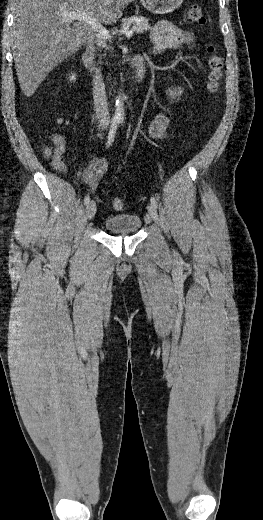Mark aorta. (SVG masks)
Returning a JSON list of instances; mask_svg holds the SVG:
<instances>
[{"label":"aorta","instance_id":"obj_1","mask_svg":"<svg viewBox=\"0 0 263 520\" xmlns=\"http://www.w3.org/2000/svg\"><path fill=\"white\" fill-rule=\"evenodd\" d=\"M124 99H125L124 94H119L116 97L115 112H114L115 120L120 121V120L124 119Z\"/></svg>","mask_w":263,"mask_h":520}]
</instances>
